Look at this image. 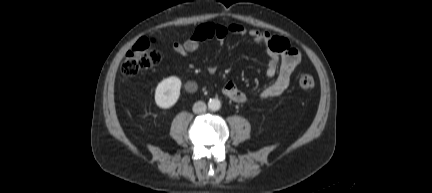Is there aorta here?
<instances>
[{
	"mask_svg": "<svg viewBox=\"0 0 432 193\" xmlns=\"http://www.w3.org/2000/svg\"><path fill=\"white\" fill-rule=\"evenodd\" d=\"M208 108L211 111H218L221 108V102L219 99L213 98L208 102Z\"/></svg>",
	"mask_w": 432,
	"mask_h": 193,
	"instance_id": "aorta-1",
	"label": "aorta"
}]
</instances>
